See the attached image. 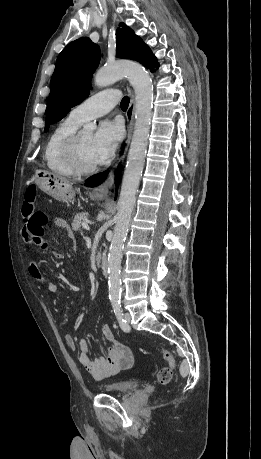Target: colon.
I'll use <instances>...</instances> for the list:
<instances>
[{
	"label": "colon",
	"mask_w": 261,
	"mask_h": 459,
	"mask_svg": "<svg viewBox=\"0 0 261 459\" xmlns=\"http://www.w3.org/2000/svg\"><path fill=\"white\" fill-rule=\"evenodd\" d=\"M36 188L34 186L28 187L25 193L23 202L22 213L24 219L21 221L23 225L22 236L24 238H34L35 234H43L44 229L48 224V217L45 213L35 211ZM163 359L169 364V367H164L158 372V381L162 385H167L172 379V369L175 360L173 355L166 351L160 350Z\"/></svg>",
	"instance_id": "colon-1"
}]
</instances>
